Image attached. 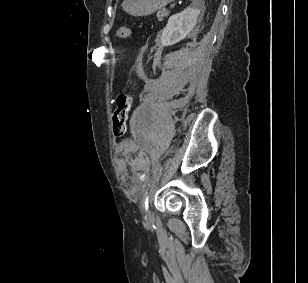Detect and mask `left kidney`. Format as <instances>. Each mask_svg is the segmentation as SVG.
<instances>
[{
    "mask_svg": "<svg viewBox=\"0 0 308 283\" xmlns=\"http://www.w3.org/2000/svg\"><path fill=\"white\" fill-rule=\"evenodd\" d=\"M203 4L201 1L194 0L193 4L181 13L172 15L161 33V44L170 46L184 39L196 26Z\"/></svg>",
    "mask_w": 308,
    "mask_h": 283,
    "instance_id": "5707ae66",
    "label": "left kidney"
}]
</instances>
